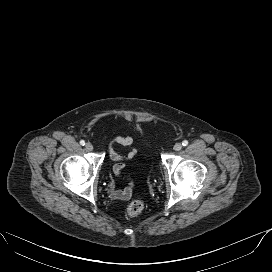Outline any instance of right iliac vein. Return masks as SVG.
<instances>
[{
    "label": "right iliac vein",
    "mask_w": 272,
    "mask_h": 272,
    "mask_svg": "<svg viewBox=\"0 0 272 272\" xmlns=\"http://www.w3.org/2000/svg\"><path fill=\"white\" fill-rule=\"evenodd\" d=\"M85 148L88 151H92L93 150V145L91 143H86Z\"/></svg>",
    "instance_id": "obj_1"
}]
</instances>
